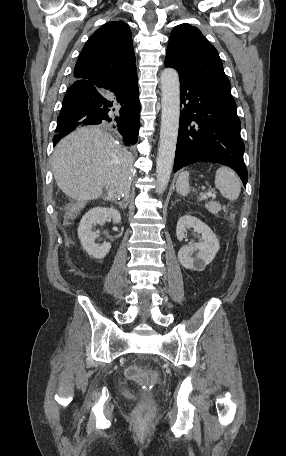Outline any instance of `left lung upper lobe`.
<instances>
[{
  "instance_id": "1",
  "label": "left lung upper lobe",
  "mask_w": 286,
  "mask_h": 456,
  "mask_svg": "<svg viewBox=\"0 0 286 456\" xmlns=\"http://www.w3.org/2000/svg\"><path fill=\"white\" fill-rule=\"evenodd\" d=\"M165 66L173 67L180 76L203 83L233 99L217 50L194 26L184 23L172 30Z\"/></svg>"
}]
</instances>
